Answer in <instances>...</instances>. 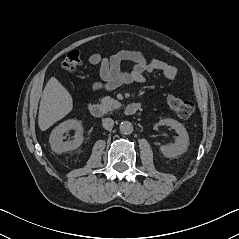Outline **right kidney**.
Here are the masks:
<instances>
[{"mask_svg":"<svg viewBox=\"0 0 239 239\" xmlns=\"http://www.w3.org/2000/svg\"><path fill=\"white\" fill-rule=\"evenodd\" d=\"M75 130L74 140L69 142L63 141V135L68 130ZM51 149L56 153H62L77 149L83 143V127L81 123L74 119L62 122L53 129L49 137Z\"/></svg>","mask_w":239,"mask_h":239,"instance_id":"1","label":"right kidney"}]
</instances>
